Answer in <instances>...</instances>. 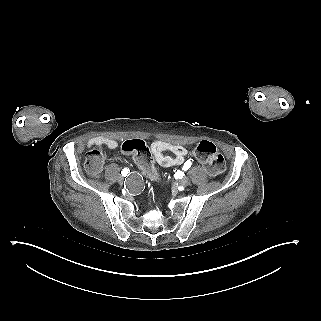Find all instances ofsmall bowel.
I'll return each instance as SVG.
<instances>
[{
  "label": "small bowel",
  "mask_w": 321,
  "mask_h": 321,
  "mask_svg": "<svg viewBox=\"0 0 321 321\" xmlns=\"http://www.w3.org/2000/svg\"><path fill=\"white\" fill-rule=\"evenodd\" d=\"M90 146L105 145L109 149H115L118 143L115 139L108 137H95L89 141ZM169 151L174 154V157L165 154ZM151 152L155 160L162 166L168 167L172 165H182L185 162V157L188 155V150L180 145L171 144L164 141H156L151 145Z\"/></svg>",
  "instance_id": "1"
}]
</instances>
